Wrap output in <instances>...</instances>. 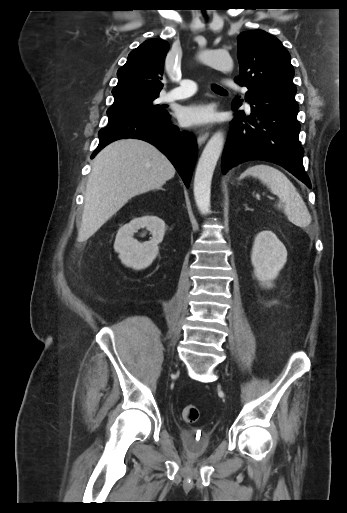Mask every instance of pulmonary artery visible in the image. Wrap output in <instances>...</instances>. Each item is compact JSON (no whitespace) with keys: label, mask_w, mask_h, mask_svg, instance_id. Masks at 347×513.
<instances>
[{"label":"pulmonary artery","mask_w":347,"mask_h":513,"mask_svg":"<svg viewBox=\"0 0 347 513\" xmlns=\"http://www.w3.org/2000/svg\"><path fill=\"white\" fill-rule=\"evenodd\" d=\"M233 88L244 90L243 88H239L234 84H229ZM197 90V84L188 79H183L180 81V84L177 88L173 89L169 92L167 99L168 100H178L192 96Z\"/></svg>","instance_id":"e3ab8cb5"}]
</instances>
